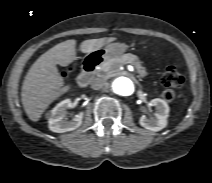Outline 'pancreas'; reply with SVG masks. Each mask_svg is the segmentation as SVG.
<instances>
[{
	"label": "pancreas",
	"mask_w": 212,
	"mask_h": 183,
	"mask_svg": "<svg viewBox=\"0 0 212 183\" xmlns=\"http://www.w3.org/2000/svg\"><path fill=\"white\" fill-rule=\"evenodd\" d=\"M142 62L139 60L138 56L128 53L121 56H116L106 59L100 65L101 73L110 74L116 72L121 65L132 64L137 69L138 74L144 78L148 75L145 67L142 66Z\"/></svg>",
	"instance_id": "pancreas-1"
}]
</instances>
